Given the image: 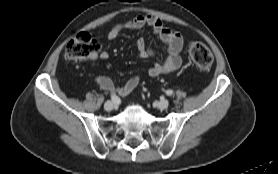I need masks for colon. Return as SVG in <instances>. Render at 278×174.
I'll return each instance as SVG.
<instances>
[{
  "mask_svg": "<svg viewBox=\"0 0 278 174\" xmlns=\"http://www.w3.org/2000/svg\"><path fill=\"white\" fill-rule=\"evenodd\" d=\"M98 44L87 32L77 34L67 44L65 55L67 59L84 62L98 51ZM189 56L194 65L200 70H208L213 63L211 51L203 43L191 41L188 45Z\"/></svg>",
  "mask_w": 278,
  "mask_h": 174,
  "instance_id": "obj_1",
  "label": "colon"
}]
</instances>
